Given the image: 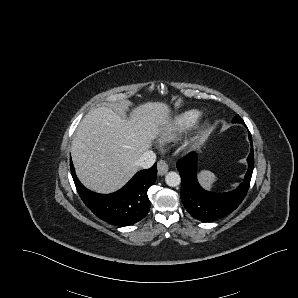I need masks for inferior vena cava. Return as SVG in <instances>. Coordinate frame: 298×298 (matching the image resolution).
Here are the masks:
<instances>
[{
  "label": "inferior vena cava",
  "instance_id": "1",
  "mask_svg": "<svg viewBox=\"0 0 298 298\" xmlns=\"http://www.w3.org/2000/svg\"><path fill=\"white\" fill-rule=\"evenodd\" d=\"M156 153L152 150H147L143 153L141 158L136 162V164L142 169H148L152 167L156 162Z\"/></svg>",
  "mask_w": 298,
  "mask_h": 298
}]
</instances>
